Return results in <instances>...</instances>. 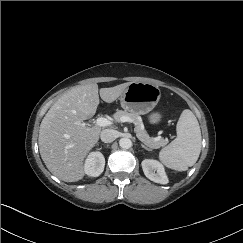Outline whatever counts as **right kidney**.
<instances>
[{
    "instance_id": "ca27d5eb",
    "label": "right kidney",
    "mask_w": 243,
    "mask_h": 243,
    "mask_svg": "<svg viewBox=\"0 0 243 243\" xmlns=\"http://www.w3.org/2000/svg\"><path fill=\"white\" fill-rule=\"evenodd\" d=\"M105 158L101 152H91L84 165L85 174L90 177H98L104 170Z\"/></svg>"
}]
</instances>
